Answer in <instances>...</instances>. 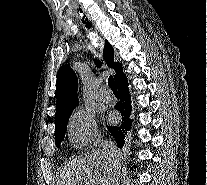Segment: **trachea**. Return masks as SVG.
<instances>
[{
    "label": "trachea",
    "instance_id": "1",
    "mask_svg": "<svg viewBox=\"0 0 207 185\" xmlns=\"http://www.w3.org/2000/svg\"><path fill=\"white\" fill-rule=\"evenodd\" d=\"M108 84H109L112 92L115 94H118V90H117L114 78L112 76L109 77Z\"/></svg>",
    "mask_w": 207,
    "mask_h": 185
}]
</instances>
